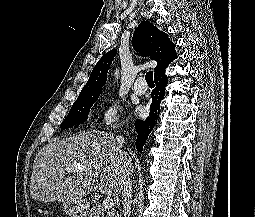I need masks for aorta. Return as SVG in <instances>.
I'll use <instances>...</instances> for the list:
<instances>
[{
    "label": "aorta",
    "instance_id": "aorta-1",
    "mask_svg": "<svg viewBox=\"0 0 255 217\" xmlns=\"http://www.w3.org/2000/svg\"><path fill=\"white\" fill-rule=\"evenodd\" d=\"M118 75H119L118 71H115V77L116 78H118Z\"/></svg>",
    "mask_w": 255,
    "mask_h": 217
}]
</instances>
